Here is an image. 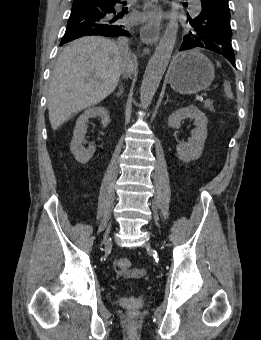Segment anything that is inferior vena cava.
Returning a JSON list of instances; mask_svg holds the SVG:
<instances>
[{
    "instance_id": "obj_1",
    "label": "inferior vena cava",
    "mask_w": 261,
    "mask_h": 340,
    "mask_svg": "<svg viewBox=\"0 0 261 340\" xmlns=\"http://www.w3.org/2000/svg\"><path fill=\"white\" fill-rule=\"evenodd\" d=\"M119 51L124 55V56H128L129 55V47H128V40L125 37H121L118 39L117 43H116ZM130 70L127 69L124 71V76L129 74Z\"/></svg>"
}]
</instances>
